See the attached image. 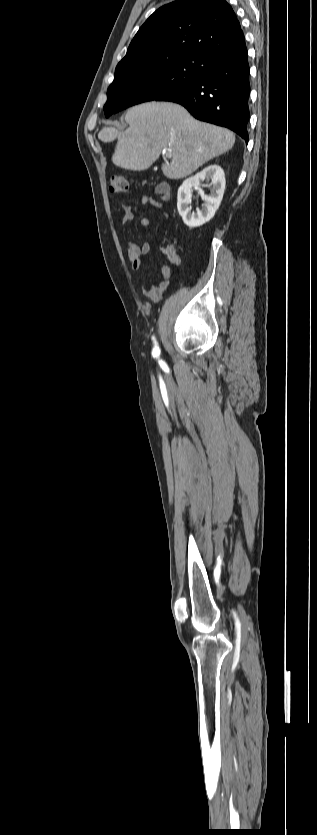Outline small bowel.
Returning <instances> with one entry per match:
<instances>
[{
  "label": "small bowel",
  "instance_id": "small-bowel-1",
  "mask_svg": "<svg viewBox=\"0 0 317 835\" xmlns=\"http://www.w3.org/2000/svg\"><path fill=\"white\" fill-rule=\"evenodd\" d=\"M155 197L150 195H143L141 198V203L145 206H150L159 210L164 209V202H167L171 198L170 189L166 184H159L155 188ZM124 216H123V226H127L131 223L134 219V213L130 206H124ZM163 215L168 218V213L163 211ZM140 225L144 228L150 225V220L148 218H142L140 220ZM150 244L143 243L141 246L135 243L129 242L127 248V258L131 263V266L135 272H139L142 268V257L150 252ZM163 254L167 260V264H164L161 268V277L157 282H150L149 284L145 285L144 294L148 299L152 302H158L164 295L165 291L168 288L169 281L172 274V267L178 266L180 264V257L175 251L174 248H165L163 250Z\"/></svg>",
  "mask_w": 317,
  "mask_h": 835
}]
</instances>
